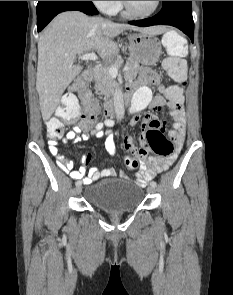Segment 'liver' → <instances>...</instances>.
Instances as JSON below:
<instances>
[{
  "label": "liver",
  "mask_w": 233,
  "mask_h": 295,
  "mask_svg": "<svg viewBox=\"0 0 233 295\" xmlns=\"http://www.w3.org/2000/svg\"><path fill=\"white\" fill-rule=\"evenodd\" d=\"M125 30L154 35L166 31L160 26L141 28L114 23L101 17H88L79 11L58 14L44 29L38 40L36 74V90L44 121L50 119L65 89L83 69L75 64L76 56L95 50L104 60H114L118 46L113 39Z\"/></svg>",
  "instance_id": "6515ba94"
}]
</instances>
